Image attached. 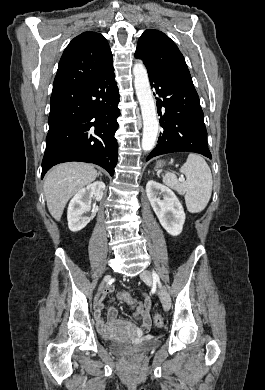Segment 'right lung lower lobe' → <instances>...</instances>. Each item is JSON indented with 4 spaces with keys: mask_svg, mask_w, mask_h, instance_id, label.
Wrapping results in <instances>:
<instances>
[{
    "mask_svg": "<svg viewBox=\"0 0 265 390\" xmlns=\"http://www.w3.org/2000/svg\"><path fill=\"white\" fill-rule=\"evenodd\" d=\"M119 93L114 68L81 84L52 92L42 178L54 165L81 161L110 175L117 164Z\"/></svg>",
    "mask_w": 265,
    "mask_h": 390,
    "instance_id": "1",
    "label": "right lung lower lobe"
}]
</instances>
